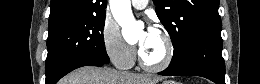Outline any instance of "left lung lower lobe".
<instances>
[{
    "instance_id": "1",
    "label": "left lung lower lobe",
    "mask_w": 260,
    "mask_h": 84,
    "mask_svg": "<svg viewBox=\"0 0 260 84\" xmlns=\"http://www.w3.org/2000/svg\"><path fill=\"white\" fill-rule=\"evenodd\" d=\"M221 35H210L192 42L178 61L170 63L160 75L205 77L216 84H225V63Z\"/></svg>"
}]
</instances>
